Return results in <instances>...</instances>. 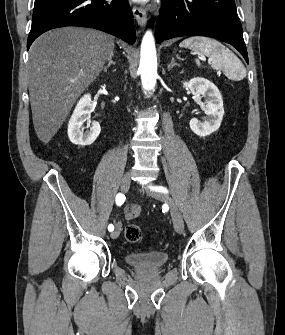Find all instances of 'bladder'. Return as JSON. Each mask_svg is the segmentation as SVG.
Here are the masks:
<instances>
[{"instance_id":"obj_1","label":"bladder","mask_w":285,"mask_h":335,"mask_svg":"<svg viewBox=\"0 0 285 335\" xmlns=\"http://www.w3.org/2000/svg\"><path fill=\"white\" fill-rule=\"evenodd\" d=\"M170 261L167 251L125 252L124 263L139 272L159 270Z\"/></svg>"}]
</instances>
